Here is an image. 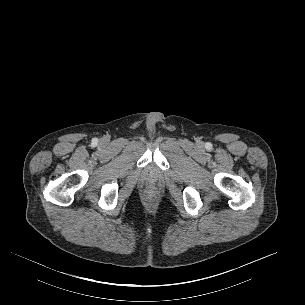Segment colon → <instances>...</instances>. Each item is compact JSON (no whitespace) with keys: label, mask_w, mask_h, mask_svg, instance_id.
Segmentation results:
<instances>
[{"label":"colon","mask_w":305,"mask_h":305,"mask_svg":"<svg viewBox=\"0 0 305 305\" xmlns=\"http://www.w3.org/2000/svg\"><path fill=\"white\" fill-rule=\"evenodd\" d=\"M147 196H148L149 198H153V197L155 196V193H154L153 191H149V192L147 193Z\"/></svg>","instance_id":"obj_1"}]
</instances>
